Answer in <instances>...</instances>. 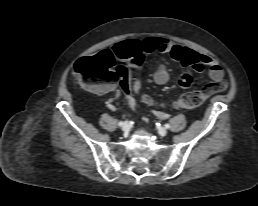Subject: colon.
Listing matches in <instances>:
<instances>
[{
  "label": "colon",
  "instance_id": "5ec220e1",
  "mask_svg": "<svg viewBox=\"0 0 258 206\" xmlns=\"http://www.w3.org/2000/svg\"><path fill=\"white\" fill-rule=\"evenodd\" d=\"M141 59L132 60L131 64L116 66L114 57L107 52H101L94 56L79 59L74 64L73 75L75 81L88 88L97 85L121 82L122 89L130 106L135 105V96L140 92L141 83L138 78ZM226 89L224 81L214 82L206 85L200 91H192L183 94L176 102L178 108L192 109L200 106L208 97ZM148 104L152 100L144 96Z\"/></svg>",
  "mask_w": 258,
  "mask_h": 206
}]
</instances>
